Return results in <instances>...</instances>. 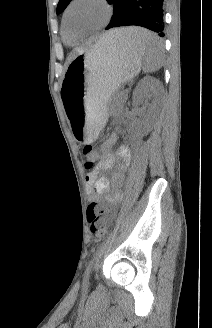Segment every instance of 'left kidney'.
<instances>
[{"label": "left kidney", "mask_w": 212, "mask_h": 328, "mask_svg": "<svg viewBox=\"0 0 212 328\" xmlns=\"http://www.w3.org/2000/svg\"><path fill=\"white\" fill-rule=\"evenodd\" d=\"M160 82L153 77H144L137 85L133 98L134 103L137 105L146 95H153L156 97L159 93ZM155 117V107H151L147 111V119L139 125L138 132L142 135L147 134L153 126Z\"/></svg>", "instance_id": "1"}]
</instances>
